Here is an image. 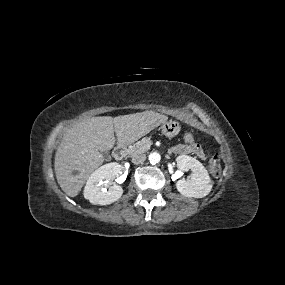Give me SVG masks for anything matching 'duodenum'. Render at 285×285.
<instances>
[{
  "mask_svg": "<svg viewBox=\"0 0 285 285\" xmlns=\"http://www.w3.org/2000/svg\"><path fill=\"white\" fill-rule=\"evenodd\" d=\"M126 155V147L124 145H118L113 152V156L116 160H122Z\"/></svg>",
  "mask_w": 285,
  "mask_h": 285,
  "instance_id": "duodenum-1",
  "label": "duodenum"
}]
</instances>
